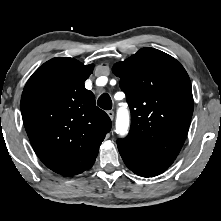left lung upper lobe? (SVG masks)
Wrapping results in <instances>:
<instances>
[{
	"label": "left lung upper lobe",
	"mask_w": 221,
	"mask_h": 221,
	"mask_svg": "<svg viewBox=\"0 0 221 221\" xmlns=\"http://www.w3.org/2000/svg\"><path fill=\"white\" fill-rule=\"evenodd\" d=\"M112 72L120 77L131 110V127L123 140L141 153L174 160L188 133L193 114L189 76L170 55L143 48ZM122 140V139H118Z\"/></svg>",
	"instance_id": "left-lung-upper-lobe-1"
}]
</instances>
